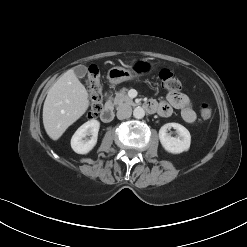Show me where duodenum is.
Listing matches in <instances>:
<instances>
[{
    "label": "duodenum",
    "mask_w": 247,
    "mask_h": 247,
    "mask_svg": "<svg viewBox=\"0 0 247 247\" xmlns=\"http://www.w3.org/2000/svg\"><path fill=\"white\" fill-rule=\"evenodd\" d=\"M144 108L150 112L157 111L156 106L154 104H152V102L146 103ZM113 118H114L113 106H112V104L108 103L105 105V107L103 108V110L101 112V119L103 122L109 123L113 120Z\"/></svg>",
    "instance_id": "obj_1"
}]
</instances>
